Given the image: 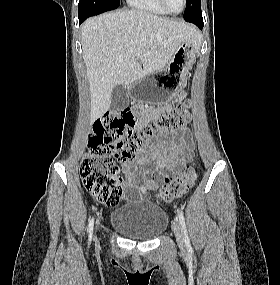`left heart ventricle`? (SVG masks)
Returning a JSON list of instances; mask_svg holds the SVG:
<instances>
[{
	"instance_id": "obj_1",
	"label": "left heart ventricle",
	"mask_w": 280,
	"mask_h": 285,
	"mask_svg": "<svg viewBox=\"0 0 280 285\" xmlns=\"http://www.w3.org/2000/svg\"><path fill=\"white\" fill-rule=\"evenodd\" d=\"M167 5L173 12H178L183 7V0H166Z\"/></svg>"
}]
</instances>
